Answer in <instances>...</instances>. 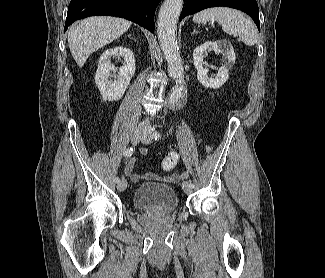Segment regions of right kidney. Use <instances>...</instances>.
<instances>
[{
  "mask_svg": "<svg viewBox=\"0 0 325 278\" xmlns=\"http://www.w3.org/2000/svg\"><path fill=\"white\" fill-rule=\"evenodd\" d=\"M124 59L120 68L111 64L110 59ZM135 58L131 49L124 46H116L107 49L102 53L98 62V69L95 74V83L104 100H119L128 88L131 78L135 73ZM118 72V75L115 73ZM114 73V80H109L111 73Z\"/></svg>",
  "mask_w": 325,
  "mask_h": 278,
  "instance_id": "right-kidney-1",
  "label": "right kidney"
}]
</instances>
